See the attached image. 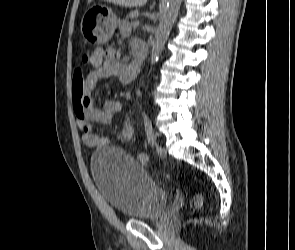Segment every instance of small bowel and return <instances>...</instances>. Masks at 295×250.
I'll use <instances>...</instances> for the list:
<instances>
[{"label":"small bowel","instance_id":"small-bowel-1","mask_svg":"<svg viewBox=\"0 0 295 250\" xmlns=\"http://www.w3.org/2000/svg\"><path fill=\"white\" fill-rule=\"evenodd\" d=\"M120 30L124 35L129 34V28L125 23L120 24ZM139 46L137 41H133L134 49ZM90 63L93 70L86 76L80 68L74 72L72 79L73 109L78 129L82 133L83 143L88 147H103L111 144L112 140L108 135L97 133L95 127L110 124L114 115L121 110L122 105L116 100L107 99L100 108H97L94 103L97 82L102 78L117 76L123 83H130L136 78L139 68L135 61L120 62L113 47L93 50ZM126 134L129 135V132Z\"/></svg>","mask_w":295,"mask_h":250}]
</instances>
